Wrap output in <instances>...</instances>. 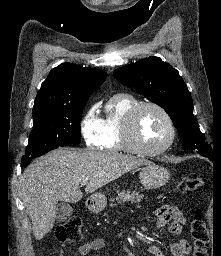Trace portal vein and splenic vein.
Returning a JSON list of instances; mask_svg holds the SVG:
<instances>
[{"label": "portal vein and splenic vein", "instance_id": "obj_1", "mask_svg": "<svg viewBox=\"0 0 221 256\" xmlns=\"http://www.w3.org/2000/svg\"><path fill=\"white\" fill-rule=\"evenodd\" d=\"M87 183H88L87 180H84V181L81 182V185L84 186V185H86Z\"/></svg>", "mask_w": 221, "mask_h": 256}]
</instances>
